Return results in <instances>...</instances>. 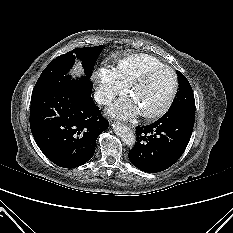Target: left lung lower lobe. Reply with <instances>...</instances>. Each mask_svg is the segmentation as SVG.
<instances>
[{
	"label": "left lung lower lobe",
	"instance_id": "left-lung-lower-lobe-1",
	"mask_svg": "<svg viewBox=\"0 0 233 233\" xmlns=\"http://www.w3.org/2000/svg\"><path fill=\"white\" fill-rule=\"evenodd\" d=\"M193 127L194 118L168 114L153 124L137 127V142L129 151V160L148 173L169 168L184 153Z\"/></svg>",
	"mask_w": 233,
	"mask_h": 233
}]
</instances>
